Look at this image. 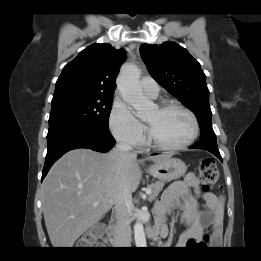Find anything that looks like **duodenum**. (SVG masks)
Returning a JSON list of instances; mask_svg holds the SVG:
<instances>
[{
    "mask_svg": "<svg viewBox=\"0 0 261 261\" xmlns=\"http://www.w3.org/2000/svg\"><path fill=\"white\" fill-rule=\"evenodd\" d=\"M165 231L164 228L162 227H154L151 228L148 231V235L150 237H157L160 233H163ZM97 234H99V236H103L105 238L104 243L108 244V245H112V246H117V242L119 241V237L117 234V230L112 226L111 229L109 230V232L104 233L102 231H98Z\"/></svg>",
    "mask_w": 261,
    "mask_h": 261,
    "instance_id": "410a0bca",
    "label": "duodenum"
}]
</instances>
